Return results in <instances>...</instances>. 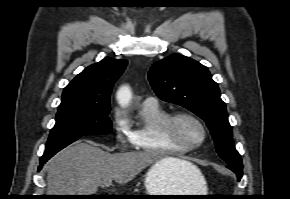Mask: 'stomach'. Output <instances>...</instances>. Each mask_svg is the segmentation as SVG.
Listing matches in <instances>:
<instances>
[{"label":"stomach","mask_w":290,"mask_h":199,"mask_svg":"<svg viewBox=\"0 0 290 199\" xmlns=\"http://www.w3.org/2000/svg\"><path fill=\"white\" fill-rule=\"evenodd\" d=\"M144 184L147 195H206V181L199 172L175 174L163 163L153 164L145 174ZM164 199H194L186 197H152Z\"/></svg>","instance_id":"obj_1"}]
</instances>
